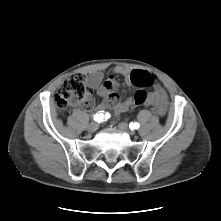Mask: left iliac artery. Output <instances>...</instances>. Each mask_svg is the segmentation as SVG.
I'll return each instance as SVG.
<instances>
[{
    "instance_id": "1",
    "label": "left iliac artery",
    "mask_w": 221,
    "mask_h": 221,
    "mask_svg": "<svg viewBox=\"0 0 221 221\" xmlns=\"http://www.w3.org/2000/svg\"><path fill=\"white\" fill-rule=\"evenodd\" d=\"M130 129L133 130V129H138L140 127V124L135 122V123H130Z\"/></svg>"
}]
</instances>
